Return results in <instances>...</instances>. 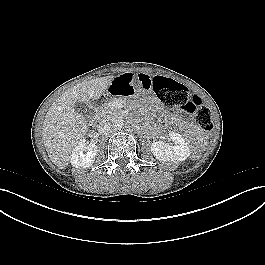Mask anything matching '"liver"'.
<instances>
[{
	"mask_svg": "<svg viewBox=\"0 0 265 265\" xmlns=\"http://www.w3.org/2000/svg\"><path fill=\"white\" fill-rule=\"evenodd\" d=\"M113 80L114 76H106L83 81L66 90L50 107L42 135L51 161L59 168L68 166L74 148L86 135L87 120L75 111V104L99 99Z\"/></svg>",
	"mask_w": 265,
	"mask_h": 265,
	"instance_id": "obj_1",
	"label": "liver"
}]
</instances>
